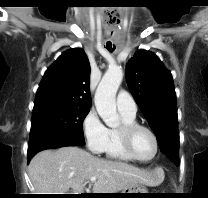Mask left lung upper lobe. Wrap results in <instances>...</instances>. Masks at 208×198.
<instances>
[{"instance_id":"obj_1","label":"left lung upper lobe","mask_w":208,"mask_h":198,"mask_svg":"<svg viewBox=\"0 0 208 198\" xmlns=\"http://www.w3.org/2000/svg\"><path fill=\"white\" fill-rule=\"evenodd\" d=\"M126 79L161 151L178 165L177 103L171 73L154 53L139 50L126 64Z\"/></svg>"}]
</instances>
